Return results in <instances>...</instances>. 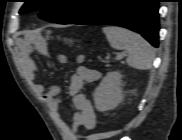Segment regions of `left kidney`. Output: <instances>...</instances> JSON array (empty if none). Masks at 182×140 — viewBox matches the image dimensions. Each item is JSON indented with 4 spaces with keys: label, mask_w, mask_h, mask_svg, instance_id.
Returning <instances> with one entry per match:
<instances>
[{
    "label": "left kidney",
    "mask_w": 182,
    "mask_h": 140,
    "mask_svg": "<svg viewBox=\"0 0 182 140\" xmlns=\"http://www.w3.org/2000/svg\"><path fill=\"white\" fill-rule=\"evenodd\" d=\"M122 75L119 72L108 73L96 88L93 96L98 111L115 109L123 101L121 90Z\"/></svg>",
    "instance_id": "obj_1"
}]
</instances>
